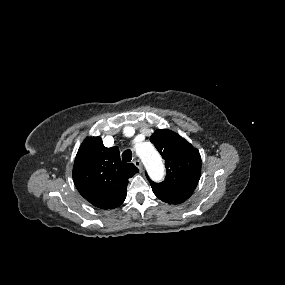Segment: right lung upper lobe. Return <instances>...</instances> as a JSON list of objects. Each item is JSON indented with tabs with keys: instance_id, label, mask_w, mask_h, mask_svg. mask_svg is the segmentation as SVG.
<instances>
[{
	"instance_id": "1",
	"label": "right lung upper lobe",
	"mask_w": 285,
	"mask_h": 285,
	"mask_svg": "<svg viewBox=\"0 0 285 285\" xmlns=\"http://www.w3.org/2000/svg\"><path fill=\"white\" fill-rule=\"evenodd\" d=\"M138 171L133 164L121 161L117 147L106 148L100 137H88L76 155L73 181L93 206L114 209L124 202L128 179Z\"/></svg>"
}]
</instances>
